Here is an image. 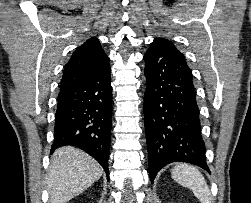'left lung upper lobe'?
Returning <instances> with one entry per match:
<instances>
[{"label":"left lung upper lobe","instance_id":"left-lung-upper-lobe-1","mask_svg":"<svg viewBox=\"0 0 251 203\" xmlns=\"http://www.w3.org/2000/svg\"><path fill=\"white\" fill-rule=\"evenodd\" d=\"M155 39H163V38H155ZM164 40H166V39H164Z\"/></svg>","mask_w":251,"mask_h":203}]
</instances>
